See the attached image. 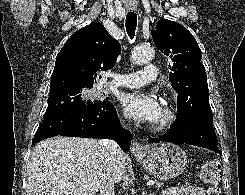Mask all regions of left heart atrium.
Here are the masks:
<instances>
[{
  "mask_svg": "<svg viewBox=\"0 0 245 195\" xmlns=\"http://www.w3.org/2000/svg\"><path fill=\"white\" fill-rule=\"evenodd\" d=\"M119 100L129 116L142 123H154L160 115V103L150 94L132 90L120 94Z\"/></svg>",
  "mask_w": 245,
  "mask_h": 195,
  "instance_id": "left-heart-atrium-1",
  "label": "left heart atrium"
}]
</instances>
